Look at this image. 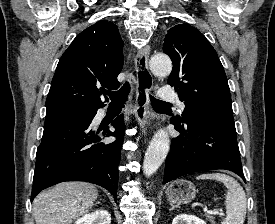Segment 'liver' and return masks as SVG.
<instances>
[{
  "label": "liver",
  "instance_id": "liver-1",
  "mask_svg": "<svg viewBox=\"0 0 275 224\" xmlns=\"http://www.w3.org/2000/svg\"><path fill=\"white\" fill-rule=\"evenodd\" d=\"M98 196L97 188L85 182H63L41 192L33 201L36 224H71L87 213Z\"/></svg>",
  "mask_w": 275,
  "mask_h": 224
}]
</instances>
